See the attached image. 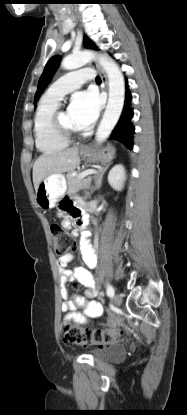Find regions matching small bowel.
<instances>
[{
  "label": "small bowel",
  "mask_w": 187,
  "mask_h": 415,
  "mask_svg": "<svg viewBox=\"0 0 187 415\" xmlns=\"http://www.w3.org/2000/svg\"><path fill=\"white\" fill-rule=\"evenodd\" d=\"M61 212L64 215L63 225L66 228L71 227L72 221L76 222L78 218L83 217L82 212L78 208L66 203L61 206ZM81 251L84 262L90 268H93L96 265V254L93 248L84 244ZM73 259L74 254L67 253L60 256L57 261L61 295L64 298L62 310L67 314L66 319H73L77 323H83L85 317L98 318L102 316L103 306L100 302L94 300V298L99 296V290L90 271L82 267H77L73 270L67 268ZM72 280H77L87 288L84 295L73 294L68 290L66 284ZM80 308L83 311H80Z\"/></svg>",
  "instance_id": "obj_1"
}]
</instances>
